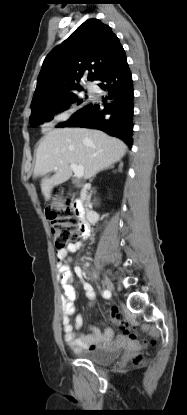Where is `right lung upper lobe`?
I'll list each match as a JSON object with an SVG mask.
<instances>
[{"label":"right lung upper lobe","instance_id":"cb5924a9","mask_svg":"<svg viewBox=\"0 0 187 415\" xmlns=\"http://www.w3.org/2000/svg\"><path fill=\"white\" fill-rule=\"evenodd\" d=\"M124 51L111 28L98 19L85 21L46 56L31 109L53 104L78 89L85 71L94 81Z\"/></svg>","mask_w":187,"mask_h":415}]
</instances>
